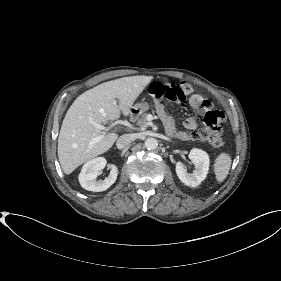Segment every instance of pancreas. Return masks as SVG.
Listing matches in <instances>:
<instances>
[{
    "mask_svg": "<svg viewBox=\"0 0 281 281\" xmlns=\"http://www.w3.org/2000/svg\"><path fill=\"white\" fill-rule=\"evenodd\" d=\"M147 113H142L140 116L134 118L136 124L141 128H146L148 126V122L146 120Z\"/></svg>",
    "mask_w": 281,
    "mask_h": 281,
    "instance_id": "1",
    "label": "pancreas"
}]
</instances>
